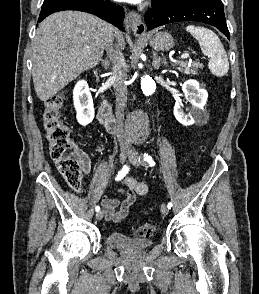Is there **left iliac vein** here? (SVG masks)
I'll return each instance as SVG.
<instances>
[{
    "label": "left iliac vein",
    "instance_id": "1",
    "mask_svg": "<svg viewBox=\"0 0 259 294\" xmlns=\"http://www.w3.org/2000/svg\"><path fill=\"white\" fill-rule=\"evenodd\" d=\"M139 158H140V156H139L138 152L135 150H132L130 153V156H129V160L132 162L133 165L139 166V164H140ZM160 210L163 215H167L169 213V208L164 203L161 205Z\"/></svg>",
    "mask_w": 259,
    "mask_h": 294
}]
</instances>
